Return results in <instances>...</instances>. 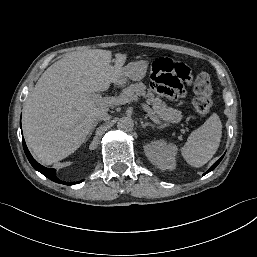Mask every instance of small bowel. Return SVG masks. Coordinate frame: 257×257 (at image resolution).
Returning a JSON list of instances; mask_svg holds the SVG:
<instances>
[{
  "label": "small bowel",
  "mask_w": 257,
  "mask_h": 257,
  "mask_svg": "<svg viewBox=\"0 0 257 257\" xmlns=\"http://www.w3.org/2000/svg\"><path fill=\"white\" fill-rule=\"evenodd\" d=\"M193 82L190 66L180 59L168 56L155 58L150 65L146 83L170 100L185 96L186 87Z\"/></svg>",
  "instance_id": "small-bowel-1"
}]
</instances>
